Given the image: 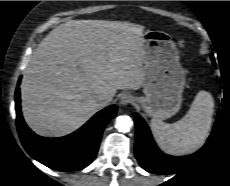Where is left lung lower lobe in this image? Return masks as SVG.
Wrapping results in <instances>:
<instances>
[{
  "instance_id": "1",
  "label": "left lung lower lobe",
  "mask_w": 230,
  "mask_h": 186,
  "mask_svg": "<svg viewBox=\"0 0 230 186\" xmlns=\"http://www.w3.org/2000/svg\"><path fill=\"white\" fill-rule=\"evenodd\" d=\"M134 122L136 125L135 155L142 168L150 173H176L182 167L191 164L205 147L188 156L166 155L156 146L147 124L139 115L134 114Z\"/></svg>"
}]
</instances>
